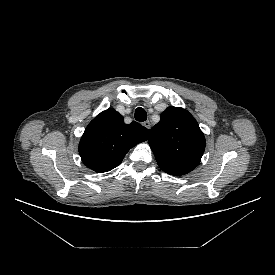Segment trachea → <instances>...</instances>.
Here are the masks:
<instances>
[{
  "mask_svg": "<svg viewBox=\"0 0 275 275\" xmlns=\"http://www.w3.org/2000/svg\"><path fill=\"white\" fill-rule=\"evenodd\" d=\"M134 117H135V119H136L137 121L143 122V121H145V120L147 119V113H146V111H145L144 108L138 107V108H136V110H135Z\"/></svg>",
  "mask_w": 275,
  "mask_h": 275,
  "instance_id": "3493384b",
  "label": "trachea"
}]
</instances>
